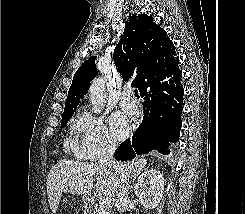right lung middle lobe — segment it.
Segmentation results:
<instances>
[{
    "label": "right lung middle lobe",
    "mask_w": 245,
    "mask_h": 214,
    "mask_svg": "<svg viewBox=\"0 0 245 214\" xmlns=\"http://www.w3.org/2000/svg\"><path fill=\"white\" fill-rule=\"evenodd\" d=\"M72 115H73V113H69V114H64L62 116L61 128L66 126L67 122L70 120Z\"/></svg>",
    "instance_id": "obj_1"
}]
</instances>
